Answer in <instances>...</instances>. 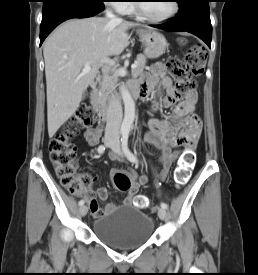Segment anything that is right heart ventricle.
<instances>
[{
  "label": "right heart ventricle",
  "instance_id": "right-heart-ventricle-1",
  "mask_svg": "<svg viewBox=\"0 0 258 275\" xmlns=\"http://www.w3.org/2000/svg\"><path fill=\"white\" fill-rule=\"evenodd\" d=\"M125 13H128V14H133L135 12V9H134V6L133 4H128L126 7H125Z\"/></svg>",
  "mask_w": 258,
  "mask_h": 275
}]
</instances>
